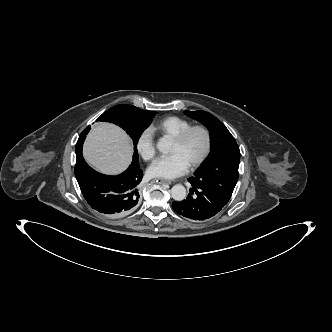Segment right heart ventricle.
<instances>
[{
    "label": "right heart ventricle",
    "mask_w": 332,
    "mask_h": 332,
    "mask_svg": "<svg viewBox=\"0 0 332 332\" xmlns=\"http://www.w3.org/2000/svg\"><path fill=\"white\" fill-rule=\"evenodd\" d=\"M191 124V121L185 118L179 116H168L154 124L151 127V130L152 132H158L162 135L174 138Z\"/></svg>",
    "instance_id": "right-heart-ventricle-1"
}]
</instances>
